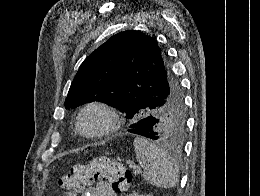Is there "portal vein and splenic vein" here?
I'll list each match as a JSON object with an SVG mask.
<instances>
[{"label": "portal vein and splenic vein", "instance_id": "18ae733b", "mask_svg": "<svg viewBox=\"0 0 260 196\" xmlns=\"http://www.w3.org/2000/svg\"><path fill=\"white\" fill-rule=\"evenodd\" d=\"M127 164H129L130 168H133L134 174H142V170L139 166H135V164H131V162H127Z\"/></svg>", "mask_w": 260, "mask_h": 196}]
</instances>
